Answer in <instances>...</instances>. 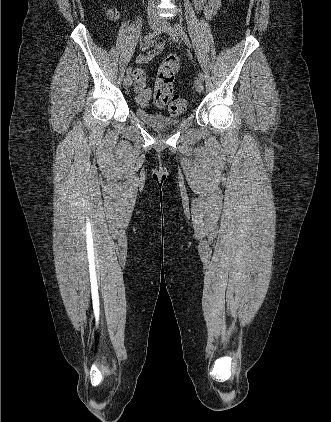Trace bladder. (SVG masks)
Listing matches in <instances>:
<instances>
[{
  "label": "bladder",
  "mask_w": 331,
  "mask_h": 422,
  "mask_svg": "<svg viewBox=\"0 0 331 422\" xmlns=\"http://www.w3.org/2000/svg\"><path fill=\"white\" fill-rule=\"evenodd\" d=\"M135 114L142 122L153 128L177 126L184 118V112L172 116L162 112H152L143 108H136Z\"/></svg>",
  "instance_id": "1"
}]
</instances>
